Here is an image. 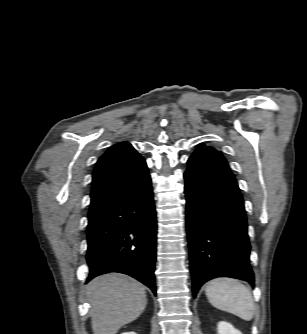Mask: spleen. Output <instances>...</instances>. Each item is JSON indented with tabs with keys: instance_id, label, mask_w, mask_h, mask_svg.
Returning <instances> with one entry per match:
<instances>
[{
	"instance_id": "spleen-1",
	"label": "spleen",
	"mask_w": 307,
	"mask_h": 334,
	"mask_svg": "<svg viewBox=\"0 0 307 334\" xmlns=\"http://www.w3.org/2000/svg\"><path fill=\"white\" fill-rule=\"evenodd\" d=\"M208 301L217 309L232 313L245 321L254 316V301L250 290L230 278L210 281L205 290Z\"/></svg>"
}]
</instances>
